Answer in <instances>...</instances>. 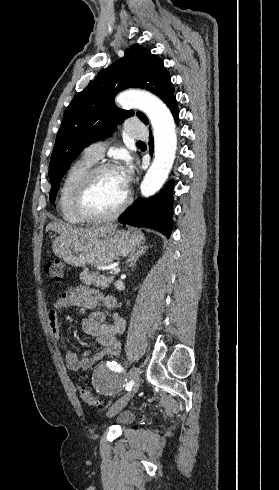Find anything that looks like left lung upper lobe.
I'll return each mask as SVG.
<instances>
[{
  "label": "left lung upper lobe",
  "mask_w": 279,
  "mask_h": 490,
  "mask_svg": "<svg viewBox=\"0 0 279 490\" xmlns=\"http://www.w3.org/2000/svg\"><path fill=\"white\" fill-rule=\"evenodd\" d=\"M129 87L150 90L166 105L174 96L170 74L162 59L140 46L125 51L123 58L103 70L66 108L49 165L50 201L53 203L64 173L80 152L95 140L113 133L118 122L134 115L114 105L116 94ZM142 122L147 117L137 112Z\"/></svg>",
  "instance_id": "obj_1"
}]
</instances>
